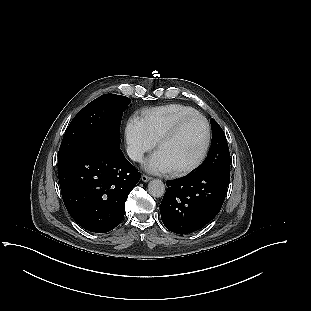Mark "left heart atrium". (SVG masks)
I'll list each match as a JSON object with an SVG mask.
<instances>
[{
    "label": "left heart atrium",
    "mask_w": 311,
    "mask_h": 311,
    "mask_svg": "<svg viewBox=\"0 0 311 311\" xmlns=\"http://www.w3.org/2000/svg\"><path fill=\"white\" fill-rule=\"evenodd\" d=\"M143 167L147 172L153 174H164L171 172V168L165 157L158 150L144 162Z\"/></svg>",
    "instance_id": "left-heart-atrium-1"
}]
</instances>
